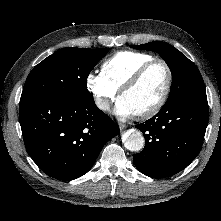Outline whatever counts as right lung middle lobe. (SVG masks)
Masks as SVG:
<instances>
[{"mask_svg":"<svg viewBox=\"0 0 221 221\" xmlns=\"http://www.w3.org/2000/svg\"><path fill=\"white\" fill-rule=\"evenodd\" d=\"M109 48L60 49L33 68L25 82L21 101L90 99L87 77Z\"/></svg>","mask_w":221,"mask_h":221,"instance_id":"dd1d6c3e","label":"right lung middle lobe"}]
</instances>
